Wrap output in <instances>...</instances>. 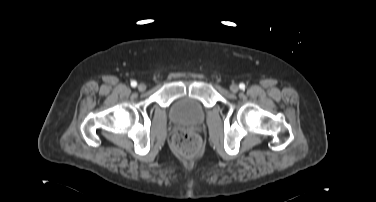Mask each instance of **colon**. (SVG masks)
Segmentation results:
<instances>
[{
  "label": "colon",
  "mask_w": 376,
  "mask_h": 202,
  "mask_svg": "<svg viewBox=\"0 0 376 202\" xmlns=\"http://www.w3.org/2000/svg\"><path fill=\"white\" fill-rule=\"evenodd\" d=\"M174 150L184 156L195 155L200 148L199 137L191 132L179 130L172 140Z\"/></svg>",
  "instance_id": "obj_1"
}]
</instances>
